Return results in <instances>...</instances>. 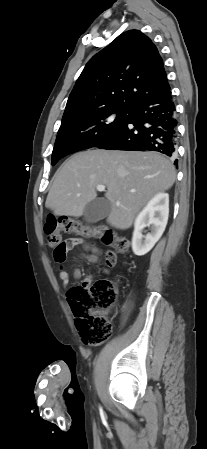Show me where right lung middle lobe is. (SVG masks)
<instances>
[{
	"mask_svg": "<svg viewBox=\"0 0 207 449\" xmlns=\"http://www.w3.org/2000/svg\"><path fill=\"white\" fill-rule=\"evenodd\" d=\"M131 108H105L62 120L54 149L52 165L77 151L97 146L124 126Z\"/></svg>",
	"mask_w": 207,
	"mask_h": 449,
	"instance_id": "dd1d6c3e",
	"label": "right lung middle lobe"
}]
</instances>
